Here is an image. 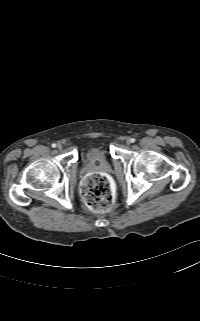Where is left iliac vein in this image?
<instances>
[{"label":"left iliac vein","mask_w":200,"mask_h":321,"mask_svg":"<svg viewBox=\"0 0 200 321\" xmlns=\"http://www.w3.org/2000/svg\"><path fill=\"white\" fill-rule=\"evenodd\" d=\"M126 143H127L128 145L131 144V139L128 138V139L126 140Z\"/></svg>","instance_id":"1"}]
</instances>
